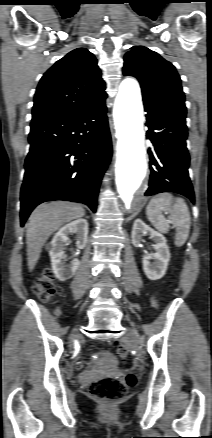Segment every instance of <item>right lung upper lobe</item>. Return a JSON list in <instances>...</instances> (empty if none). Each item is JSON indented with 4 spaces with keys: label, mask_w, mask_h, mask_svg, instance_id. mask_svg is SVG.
Here are the masks:
<instances>
[{
    "label": "right lung upper lobe",
    "mask_w": 212,
    "mask_h": 438,
    "mask_svg": "<svg viewBox=\"0 0 212 438\" xmlns=\"http://www.w3.org/2000/svg\"><path fill=\"white\" fill-rule=\"evenodd\" d=\"M94 55L78 48L57 61L37 87L32 120L91 109L107 97Z\"/></svg>",
    "instance_id": "obj_1"
}]
</instances>
